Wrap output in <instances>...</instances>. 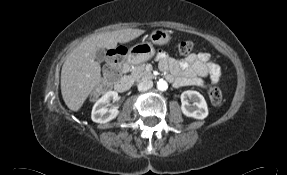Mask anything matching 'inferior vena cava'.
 <instances>
[{
    "label": "inferior vena cava",
    "mask_w": 287,
    "mask_h": 175,
    "mask_svg": "<svg viewBox=\"0 0 287 175\" xmlns=\"http://www.w3.org/2000/svg\"><path fill=\"white\" fill-rule=\"evenodd\" d=\"M152 87H153V82L152 80H149V79L143 80L138 84L139 91H147Z\"/></svg>",
    "instance_id": "obj_1"
}]
</instances>
